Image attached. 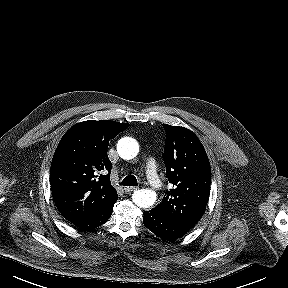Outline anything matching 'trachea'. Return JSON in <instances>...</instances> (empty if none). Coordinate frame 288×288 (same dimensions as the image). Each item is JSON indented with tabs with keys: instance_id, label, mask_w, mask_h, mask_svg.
<instances>
[{
	"instance_id": "obj_1",
	"label": "trachea",
	"mask_w": 288,
	"mask_h": 288,
	"mask_svg": "<svg viewBox=\"0 0 288 288\" xmlns=\"http://www.w3.org/2000/svg\"><path fill=\"white\" fill-rule=\"evenodd\" d=\"M121 184H122L123 186H138L137 179H136V177L133 176V175H128V176H126V177L122 180Z\"/></svg>"
}]
</instances>
